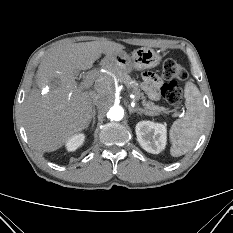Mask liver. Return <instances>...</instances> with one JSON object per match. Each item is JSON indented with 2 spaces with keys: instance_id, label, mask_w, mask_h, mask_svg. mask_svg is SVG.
<instances>
[{
  "instance_id": "1",
  "label": "liver",
  "mask_w": 233,
  "mask_h": 233,
  "mask_svg": "<svg viewBox=\"0 0 233 233\" xmlns=\"http://www.w3.org/2000/svg\"><path fill=\"white\" fill-rule=\"evenodd\" d=\"M113 41L64 43L51 49L36 72V85L25 98L23 112L28 140L33 148L52 152L86 129L94 112L92 91L77 88L75 72L92 68L101 57L122 52ZM48 88L41 93L42 88Z\"/></svg>"
}]
</instances>
